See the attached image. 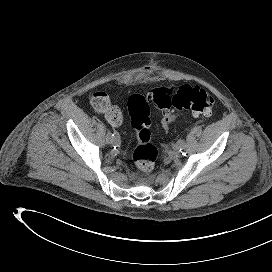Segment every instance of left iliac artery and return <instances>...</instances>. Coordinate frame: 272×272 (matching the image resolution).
<instances>
[{
    "mask_svg": "<svg viewBox=\"0 0 272 272\" xmlns=\"http://www.w3.org/2000/svg\"><path fill=\"white\" fill-rule=\"evenodd\" d=\"M177 146L179 148V151H182L185 147V140L184 139H179L177 142Z\"/></svg>",
    "mask_w": 272,
    "mask_h": 272,
    "instance_id": "left-iliac-artery-1",
    "label": "left iliac artery"
}]
</instances>
